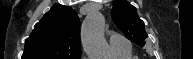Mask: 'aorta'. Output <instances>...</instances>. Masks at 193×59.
I'll return each mask as SVG.
<instances>
[{
    "label": "aorta",
    "instance_id": "obj_1",
    "mask_svg": "<svg viewBox=\"0 0 193 59\" xmlns=\"http://www.w3.org/2000/svg\"><path fill=\"white\" fill-rule=\"evenodd\" d=\"M105 19L99 12H92L82 25V41L90 59H113L104 38Z\"/></svg>",
    "mask_w": 193,
    "mask_h": 59
}]
</instances>
